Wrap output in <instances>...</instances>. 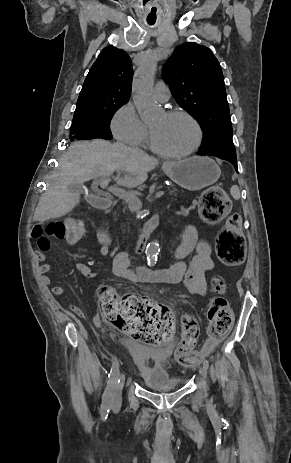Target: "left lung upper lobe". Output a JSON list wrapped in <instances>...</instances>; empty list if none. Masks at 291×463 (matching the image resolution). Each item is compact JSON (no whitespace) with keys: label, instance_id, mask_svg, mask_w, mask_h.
<instances>
[{"label":"left lung upper lobe","instance_id":"left-lung-upper-lobe-1","mask_svg":"<svg viewBox=\"0 0 291 463\" xmlns=\"http://www.w3.org/2000/svg\"><path fill=\"white\" fill-rule=\"evenodd\" d=\"M163 76L176 102L201 125L199 151L236 155L224 77L211 50L196 43L176 47Z\"/></svg>","mask_w":291,"mask_h":463}]
</instances>
